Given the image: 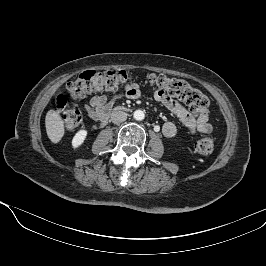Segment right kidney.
Segmentation results:
<instances>
[{
    "label": "right kidney",
    "instance_id": "obj_1",
    "mask_svg": "<svg viewBox=\"0 0 266 266\" xmlns=\"http://www.w3.org/2000/svg\"><path fill=\"white\" fill-rule=\"evenodd\" d=\"M86 136H87L86 130L83 129L78 131L72 139L73 148H78L79 146H81L84 140L86 139Z\"/></svg>",
    "mask_w": 266,
    "mask_h": 266
}]
</instances>
